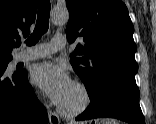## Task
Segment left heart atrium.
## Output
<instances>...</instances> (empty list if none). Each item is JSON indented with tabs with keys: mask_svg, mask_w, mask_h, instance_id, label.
<instances>
[{
	"mask_svg": "<svg viewBox=\"0 0 156 124\" xmlns=\"http://www.w3.org/2000/svg\"><path fill=\"white\" fill-rule=\"evenodd\" d=\"M31 79L35 85L42 88L52 101L58 105L63 101L73 84L62 66L49 62L35 66Z\"/></svg>",
	"mask_w": 156,
	"mask_h": 124,
	"instance_id": "39dd6f15",
	"label": "left heart atrium"
}]
</instances>
